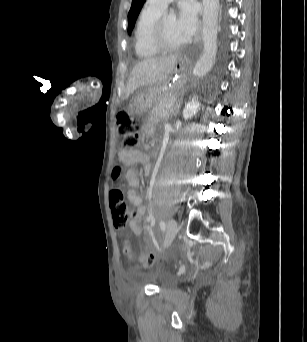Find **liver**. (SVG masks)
Instances as JSON below:
<instances>
[{"label": "liver", "instance_id": "obj_1", "mask_svg": "<svg viewBox=\"0 0 307 342\" xmlns=\"http://www.w3.org/2000/svg\"><path fill=\"white\" fill-rule=\"evenodd\" d=\"M178 56L163 58H146L134 66L124 90V98H129L137 88L143 86H160L166 82L174 70Z\"/></svg>", "mask_w": 307, "mask_h": 342}]
</instances>
